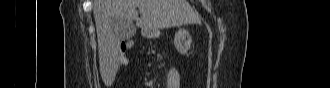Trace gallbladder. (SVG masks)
<instances>
[{"label":"gallbladder","instance_id":"gallbladder-1","mask_svg":"<svg viewBox=\"0 0 330 88\" xmlns=\"http://www.w3.org/2000/svg\"><path fill=\"white\" fill-rule=\"evenodd\" d=\"M114 29L119 34L121 40L131 39L135 32L136 27L133 22L121 21L114 23Z\"/></svg>","mask_w":330,"mask_h":88}]
</instances>
